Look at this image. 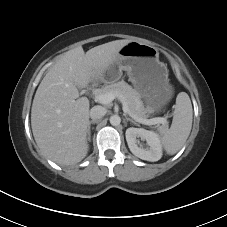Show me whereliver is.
<instances>
[{
    "label": "liver",
    "instance_id": "obj_1",
    "mask_svg": "<svg viewBox=\"0 0 227 227\" xmlns=\"http://www.w3.org/2000/svg\"><path fill=\"white\" fill-rule=\"evenodd\" d=\"M129 40L111 41L84 53H64L41 81L32 104L31 127L41 152L59 165H73L88 153L89 100L78 88L100 79Z\"/></svg>",
    "mask_w": 227,
    "mask_h": 227
}]
</instances>
